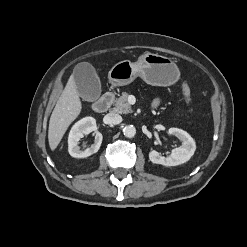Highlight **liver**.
<instances>
[{"label": "liver", "instance_id": "liver-1", "mask_svg": "<svg viewBox=\"0 0 247 247\" xmlns=\"http://www.w3.org/2000/svg\"><path fill=\"white\" fill-rule=\"evenodd\" d=\"M81 109L82 104L72 75L50 117L48 141L52 151L57 148L67 128L78 117Z\"/></svg>", "mask_w": 247, "mask_h": 247}]
</instances>
